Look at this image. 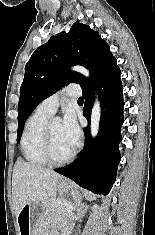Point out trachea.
Segmentation results:
<instances>
[{
	"instance_id": "3493384b",
	"label": "trachea",
	"mask_w": 155,
	"mask_h": 235,
	"mask_svg": "<svg viewBox=\"0 0 155 235\" xmlns=\"http://www.w3.org/2000/svg\"><path fill=\"white\" fill-rule=\"evenodd\" d=\"M84 101V99L82 98V97H80L79 99H78V102H83Z\"/></svg>"
}]
</instances>
